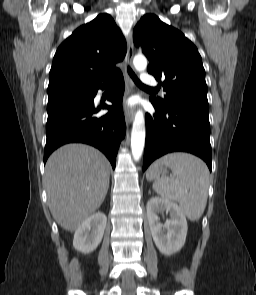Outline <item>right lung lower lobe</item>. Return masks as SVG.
Masks as SVG:
<instances>
[{"instance_id": "right-lung-lower-lobe-1", "label": "right lung lower lobe", "mask_w": 256, "mask_h": 295, "mask_svg": "<svg viewBox=\"0 0 256 295\" xmlns=\"http://www.w3.org/2000/svg\"><path fill=\"white\" fill-rule=\"evenodd\" d=\"M109 84L114 87L109 97L113 106L104 105L102 108L108 109V113L95 117L101 107L94 106V97L98 89H104ZM123 92L124 79L120 73L99 87L49 97L44 164L61 145L82 142L101 150L115 168L118 147L126 131L121 107Z\"/></svg>"}]
</instances>
